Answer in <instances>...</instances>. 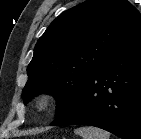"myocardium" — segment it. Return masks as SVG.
<instances>
[{"instance_id":"1","label":"myocardium","mask_w":141,"mask_h":139,"mask_svg":"<svg viewBox=\"0 0 141 139\" xmlns=\"http://www.w3.org/2000/svg\"><path fill=\"white\" fill-rule=\"evenodd\" d=\"M59 99L58 93L53 89H43L33 98V108L39 114L48 113L53 109Z\"/></svg>"}]
</instances>
